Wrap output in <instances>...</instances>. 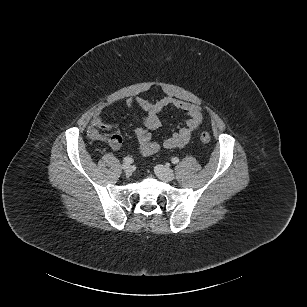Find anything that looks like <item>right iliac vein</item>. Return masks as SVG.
<instances>
[{
  "label": "right iliac vein",
  "instance_id": "obj_1",
  "mask_svg": "<svg viewBox=\"0 0 307 307\" xmlns=\"http://www.w3.org/2000/svg\"><path fill=\"white\" fill-rule=\"evenodd\" d=\"M122 169H123V171L126 173V174H129V173H131V166L129 165V164H127V163H124L123 165H122Z\"/></svg>",
  "mask_w": 307,
  "mask_h": 307
}]
</instances>
